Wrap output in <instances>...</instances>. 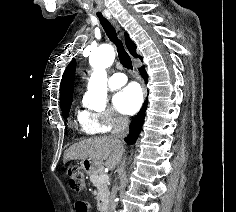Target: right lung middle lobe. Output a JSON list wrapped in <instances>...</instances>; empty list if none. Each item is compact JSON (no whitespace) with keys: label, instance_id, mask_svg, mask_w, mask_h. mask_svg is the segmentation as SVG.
Listing matches in <instances>:
<instances>
[{"label":"right lung middle lobe","instance_id":"1","mask_svg":"<svg viewBox=\"0 0 236 212\" xmlns=\"http://www.w3.org/2000/svg\"><path fill=\"white\" fill-rule=\"evenodd\" d=\"M71 103H72V98L71 99H67V100H65V101L60 103L61 110H62V113H63L65 118H67V116H68V112L70 110Z\"/></svg>","mask_w":236,"mask_h":212}]
</instances>
